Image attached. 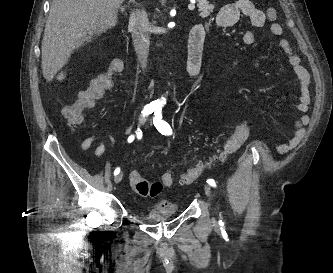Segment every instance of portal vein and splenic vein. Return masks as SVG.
Returning a JSON list of instances; mask_svg holds the SVG:
<instances>
[{"mask_svg":"<svg viewBox=\"0 0 333 273\" xmlns=\"http://www.w3.org/2000/svg\"><path fill=\"white\" fill-rule=\"evenodd\" d=\"M188 8H189V10H194L195 5H194V4H190V5L188 6Z\"/></svg>","mask_w":333,"mask_h":273,"instance_id":"portal-vein-and-splenic-vein-1","label":"portal vein and splenic vein"}]
</instances>
